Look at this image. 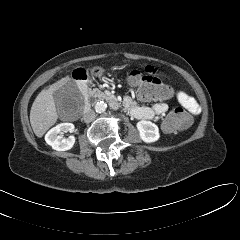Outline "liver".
Segmentation results:
<instances>
[{"label":"liver","instance_id":"liver-1","mask_svg":"<svg viewBox=\"0 0 240 240\" xmlns=\"http://www.w3.org/2000/svg\"><path fill=\"white\" fill-rule=\"evenodd\" d=\"M69 81L68 76L60 79L48 89L42 90L34 100L30 110V123L37 137L41 138L56 123L58 115L53 93Z\"/></svg>","mask_w":240,"mask_h":240}]
</instances>
